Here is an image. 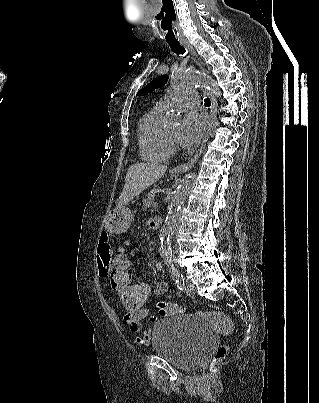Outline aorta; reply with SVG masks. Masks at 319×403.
Masks as SVG:
<instances>
[{"label": "aorta", "instance_id": "1", "mask_svg": "<svg viewBox=\"0 0 319 403\" xmlns=\"http://www.w3.org/2000/svg\"><path fill=\"white\" fill-rule=\"evenodd\" d=\"M170 84L173 89L201 86L208 88L217 97L221 94L216 81L202 74L184 73L175 70L172 72ZM193 180L192 174L186 175L171 198L169 210L159 235L161 255L166 258H169L172 254L170 238L176 228L179 210L193 186Z\"/></svg>", "mask_w": 319, "mask_h": 403}]
</instances>
